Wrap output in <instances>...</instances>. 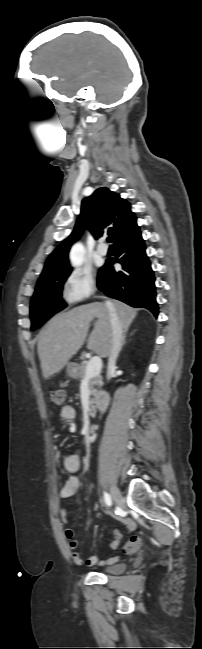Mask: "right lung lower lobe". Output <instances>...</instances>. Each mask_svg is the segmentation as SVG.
I'll use <instances>...</instances> for the list:
<instances>
[{
  "label": "right lung lower lobe",
  "mask_w": 202,
  "mask_h": 649,
  "mask_svg": "<svg viewBox=\"0 0 202 649\" xmlns=\"http://www.w3.org/2000/svg\"><path fill=\"white\" fill-rule=\"evenodd\" d=\"M114 246L117 260L107 259L99 270V290L133 307L146 308L157 317L159 307L156 302L155 277L145 253L146 246L140 228L116 240ZM115 262L122 264V271L114 270Z\"/></svg>",
  "instance_id": "1"
}]
</instances>
